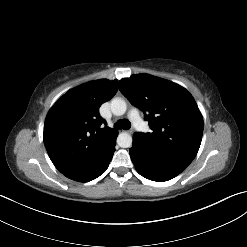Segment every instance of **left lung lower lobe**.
Segmentation results:
<instances>
[{"instance_id":"0a47b994","label":"left lung lower lobe","mask_w":247,"mask_h":247,"mask_svg":"<svg viewBox=\"0 0 247 247\" xmlns=\"http://www.w3.org/2000/svg\"><path fill=\"white\" fill-rule=\"evenodd\" d=\"M131 160L137 172L153 181H167L179 175L187 166L163 157L148 145L133 138L129 150Z\"/></svg>"}]
</instances>
